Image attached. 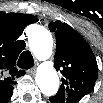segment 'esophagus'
I'll list each match as a JSON object with an SVG mask.
<instances>
[{"mask_svg":"<svg viewBox=\"0 0 103 103\" xmlns=\"http://www.w3.org/2000/svg\"><path fill=\"white\" fill-rule=\"evenodd\" d=\"M30 74H34L36 72V67H32L31 69L28 70Z\"/></svg>","mask_w":103,"mask_h":103,"instance_id":"esophagus-1","label":"esophagus"}]
</instances>
